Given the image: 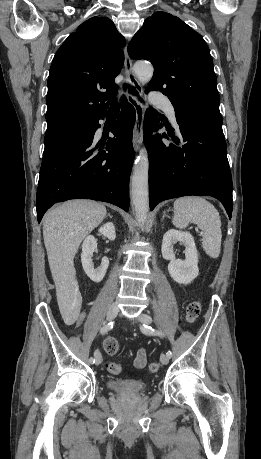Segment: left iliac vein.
<instances>
[{
  "mask_svg": "<svg viewBox=\"0 0 261 459\" xmlns=\"http://www.w3.org/2000/svg\"><path fill=\"white\" fill-rule=\"evenodd\" d=\"M137 320L143 324H150L152 322V318L145 314V313H141L138 317H137ZM160 361L162 364L166 365L168 364L169 362V356L167 354H161L160 356Z\"/></svg>",
  "mask_w": 261,
  "mask_h": 459,
  "instance_id": "obj_1",
  "label": "left iliac vein"
}]
</instances>
